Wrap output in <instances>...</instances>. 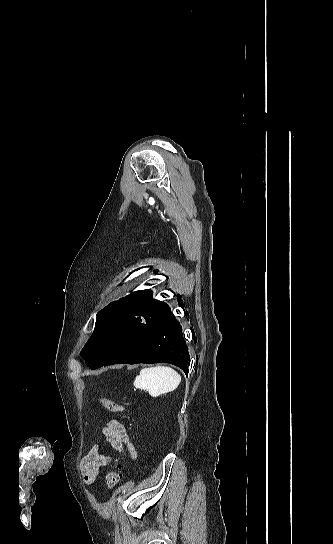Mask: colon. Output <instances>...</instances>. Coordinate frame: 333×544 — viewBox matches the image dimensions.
Wrapping results in <instances>:
<instances>
[{
	"instance_id": "1",
	"label": "colon",
	"mask_w": 333,
	"mask_h": 544,
	"mask_svg": "<svg viewBox=\"0 0 333 544\" xmlns=\"http://www.w3.org/2000/svg\"><path fill=\"white\" fill-rule=\"evenodd\" d=\"M100 403L110 412H123L124 407L108 398L102 397L99 399ZM121 466L117 465L115 469L109 471L105 475L106 485L109 489H113L117 486L121 480Z\"/></svg>"
}]
</instances>
